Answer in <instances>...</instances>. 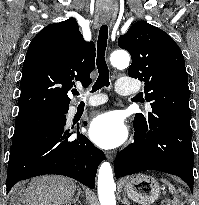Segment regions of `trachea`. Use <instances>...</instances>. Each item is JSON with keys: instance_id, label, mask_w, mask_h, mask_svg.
<instances>
[{"instance_id": "1", "label": "trachea", "mask_w": 199, "mask_h": 205, "mask_svg": "<svg viewBox=\"0 0 199 205\" xmlns=\"http://www.w3.org/2000/svg\"><path fill=\"white\" fill-rule=\"evenodd\" d=\"M108 39V26L106 24L102 25L99 31L98 41H97V69H98V78L92 87V92H95L102 87H108L109 82V70L105 61V51L107 47ZM74 95H78V91H73Z\"/></svg>"}]
</instances>
